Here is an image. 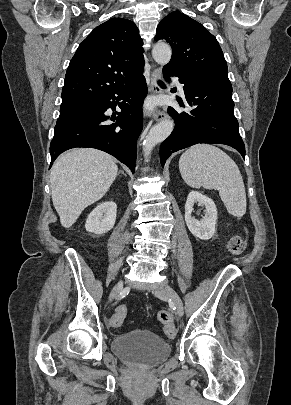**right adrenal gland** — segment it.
I'll list each match as a JSON object with an SVG mask.
<instances>
[{
	"mask_svg": "<svg viewBox=\"0 0 291 405\" xmlns=\"http://www.w3.org/2000/svg\"><path fill=\"white\" fill-rule=\"evenodd\" d=\"M120 173H122L124 176H126V174H125L122 170H120V171L118 172V174H120Z\"/></svg>",
	"mask_w": 291,
	"mask_h": 405,
	"instance_id": "2a0ac1e0",
	"label": "right adrenal gland"
}]
</instances>
